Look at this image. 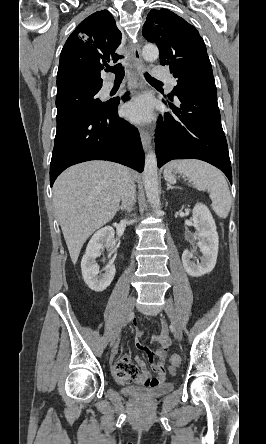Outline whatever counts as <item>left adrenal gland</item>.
<instances>
[{"instance_id":"a2214340","label":"left adrenal gland","mask_w":266,"mask_h":444,"mask_svg":"<svg viewBox=\"0 0 266 444\" xmlns=\"http://www.w3.org/2000/svg\"><path fill=\"white\" fill-rule=\"evenodd\" d=\"M166 185H167V190H170V189H177L178 187H175V186H172L170 183H166Z\"/></svg>"}]
</instances>
